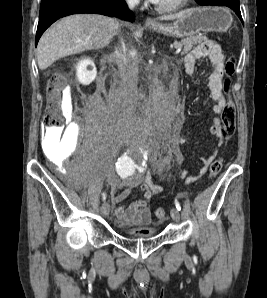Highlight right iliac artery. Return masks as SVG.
<instances>
[{"mask_svg":"<svg viewBox=\"0 0 267 298\" xmlns=\"http://www.w3.org/2000/svg\"><path fill=\"white\" fill-rule=\"evenodd\" d=\"M129 158L127 157V152L119 159L120 162H127ZM107 198V194L103 193L102 194V200H105Z\"/></svg>","mask_w":267,"mask_h":298,"instance_id":"right-iliac-artery-1","label":"right iliac artery"}]
</instances>
